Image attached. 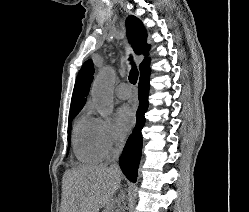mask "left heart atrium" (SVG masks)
Masks as SVG:
<instances>
[{
	"instance_id": "obj_1",
	"label": "left heart atrium",
	"mask_w": 249,
	"mask_h": 212,
	"mask_svg": "<svg viewBox=\"0 0 249 212\" xmlns=\"http://www.w3.org/2000/svg\"><path fill=\"white\" fill-rule=\"evenodd\" d=\"M135 115L132 109L126 105L118 108L116 113V128L120 134H125L134 126Z\"/></svg>"
}]
</instances>
